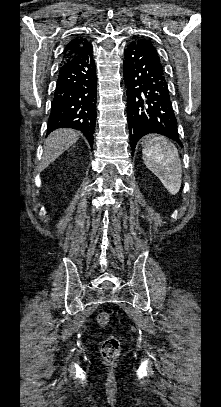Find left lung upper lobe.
Segmentation results:
<instances>
[{
    "label": "left lung upper lobe",
    "mask_w": 221,
    "mask_h": 407,
    "mask_svg": "<svg viewBox=\"0 0 221 407\" xmlns=\"http://www.w3.org/2000/svg\"><path fill=\"white\" fill-rule=\"evenodd\" d=\"M141 40H142V41H145V42H147V43H149L148 41H146V40H144V39H141ZM149 44L152 46V48H153V50H154V52H155L156 57H157L158 59H160L157 50L154 48V46H153L151 43H149Z\"/></svg>",
    "instance_id": "left-lung-upper-lobe-1"
}]
</instances>
